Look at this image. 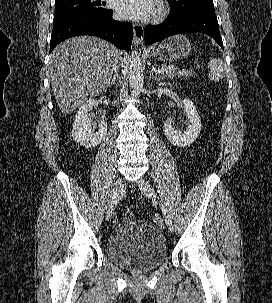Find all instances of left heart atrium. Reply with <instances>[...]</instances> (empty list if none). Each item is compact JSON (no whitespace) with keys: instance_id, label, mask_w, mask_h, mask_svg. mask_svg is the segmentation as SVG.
Instances as JSON below:
<instances>
[{"instance_id":"obj_1","label":"left heart atrium","mask_w":272,"mask_h":303,"mask_svg":"<svg viewBox=\"0 0 272 303\" xmlns=\"http://www.w3.org/2000/svg\"><path fill=\"white\" fill-rule=\"evenodd\" d=\"M117 14L131 20H148L158 11V0H116Z\"/></svg>"}]
</instances>
